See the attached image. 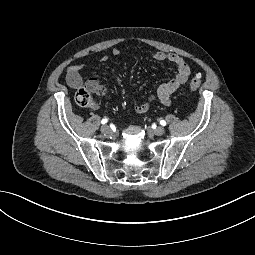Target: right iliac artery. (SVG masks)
<instances>
[{"mask_svg":"<svg viewBox=\"0 0 255 255\" xmlns=\"http://www.w3.org/2000/svg\"><path fill=\"white\" fill-rule=\"evenodd\" d=\"M107 121H108V120L105 118V119H102L101 123H102V124H105V123H107Z\"/></svg>","mask_w":255,"mask_h":255,"instance_id":"82829eb1","label":"right iliac artery"}]
</instances>
